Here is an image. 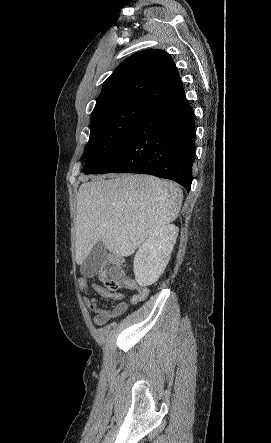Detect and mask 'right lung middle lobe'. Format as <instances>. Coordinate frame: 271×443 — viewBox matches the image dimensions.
<instances>
[{
  "instance_id": "dd1d6c3e",
  "label": "right lung middle lobe",
  "mask_w": 271,
  "mask_h": 443,
  "mask_svg": "<svg viewBox=\"0 0 271 443\" xmlns=\"http://www.w3.org/2000/svg\"><path fill=\"white\" fill-rule=\"evenodd\" d=\"M151 105L141 99H125L94 108L85 154L86 174L96 171L110 159L128 131Z\"/></svg>"
}]
</instances>
